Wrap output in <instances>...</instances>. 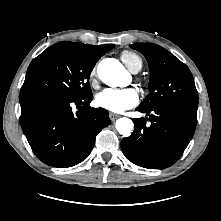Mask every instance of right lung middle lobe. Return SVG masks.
<instances>
[{
	"label": "right lung middle lobe",
	"mask_w": 221,
	"mask_h": 221,
	"mask_svg": "<svg viewBox=\"0 0 221 221\" xmlns=\"http://www.w3.org/2000/svg\"><path fill=\"white\" fill-rule=\"evenodd\" d=\"M96 62L75 46L54 44L30 63L21 92L49 91L72 99L91 95L88 80Z\"/></svg>",
	"instance_id": "obj_1"
}]
</instances>
